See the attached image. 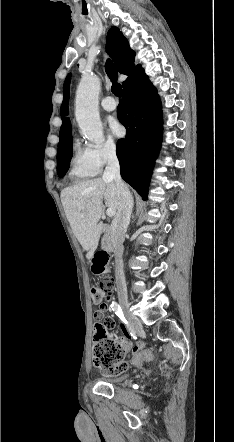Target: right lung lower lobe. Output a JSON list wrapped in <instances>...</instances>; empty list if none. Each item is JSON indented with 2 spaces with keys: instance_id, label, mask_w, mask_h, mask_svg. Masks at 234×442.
<instances>
[{
  "instance_id": "1",
  "label": "right lung lower lobe",
  "mask_w": 234,
  "mask_h": 442,
  "mask_svg": "<svg viewBox=\"0 0 234 442\" xmlns=\"http://www.w3.org/2000/svg\"><path fill=\"white\" fill-rule=\"evenodd\" d=\"M117 116L126 127V137L117 142L121 176L146 200L163 121L159 96L144 71L123 85Z\"/></svg>"
}]
</instances>
